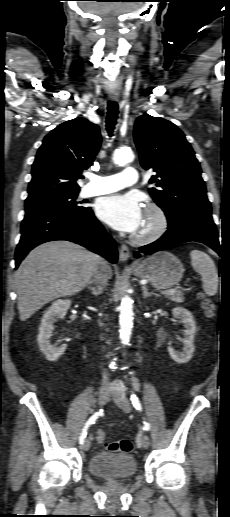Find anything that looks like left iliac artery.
Here are the masks:
<instances>
[{"label":"left iliac artery","mask_w":230,"mask_h":517,"mask_svg":"<svg viewBox=\"0 0 230 517\" xmlns=\"http://www.w3.org/2000/svg\"><path fill=\"white\" fill-rule=\"evenodd\" d=\"M130 400L136 410L142 411V405L139 401V398L135 394L131 395ZM144 430H150V424L147 421H144Z\"/></svg>","instance_id":"44dca946"}]
</instances>
